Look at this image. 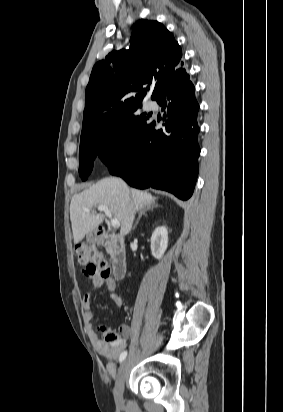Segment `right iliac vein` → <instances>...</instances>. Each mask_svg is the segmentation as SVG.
<instances>
[{"label":"right iliac vein","instance_id":"right-iliac-vein-1","mask_svg":"<svg viewBox=\"0 0 283 412\" xmlns=\"http://www.w3.org/2000/svg\"><path fill=\"white\" fill-rule=\"evenodd\" d=\"M128 369H129V360L126 359L121 364L118 370V375H117V379H116L115 387L113 391L115 403L120 408L123 407V404H124V400H123L124 382H125Z\"/></svg>","mask_w":283,"mask_h":412}]
</instances>
